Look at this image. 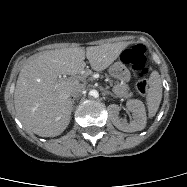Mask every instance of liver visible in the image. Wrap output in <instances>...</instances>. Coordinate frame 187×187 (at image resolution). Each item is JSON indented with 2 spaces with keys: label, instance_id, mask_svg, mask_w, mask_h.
<instances>
[{
  "label": "liver",
  "instance_id": "1",
  "mask_svg": "<svg viewBox=\"0 0 187 187\" xmlns=\"http://www.w3.org/2000/svg\"><path fill=\"white\" fill-rule=\"evenodd\" d=\"M128 42L100 46L69 47L45 51L29 58L21 69L14 93L15 109L23 125L42 137L60 135L69 125L71 90L77 78L62 79L63 74H81L84 80L92 72L85 70V57L95 71H103L116 60Z\"/></svg>",
  "mask_w": 187,
  "mask_h": 187
}]
</instances>
